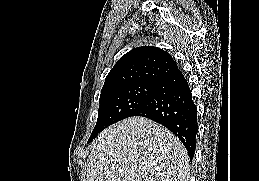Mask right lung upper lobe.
I'll return each mask as SVG.
<instances>
[{"label": "right lung upper lobe", "instance_id": "right-lung-upper-lobe-1", "mask_svg": "<svg viewBox=\"0 0 259 181\" xmlns=\"http://www.w3.org/2000/svg\"><path fill=\"white\" fill-rule=\"evenodd\" d=\"M178 69L166 51L155 46L132 49L114 65L107 75L102 91L137 83H160Z\"/></svg>", "mask_w": 259, "mask_h": 181}]
</instances>
